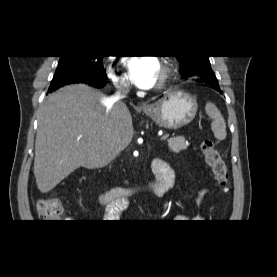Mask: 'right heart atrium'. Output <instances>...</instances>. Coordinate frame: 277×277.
Returning <instances> with one entry per match:
<instances>
[{
	"label": "right heart atrium",
	"mask_w": 277,
	"mask_h": 277,
	"mask_svg": "<svg viewBox=\"0 0 277 277\" xmlns=\"http://www.w3.org/2000/svg\"><path fill=\"white\" fill-rule=\"evenodd\" d=\"M108 75L117 87H122L127 84V78L124 75H118L111 62L108 63Z\"/></svg>",
	"instance_id": "d8ad5b80"
}]
</instances>
